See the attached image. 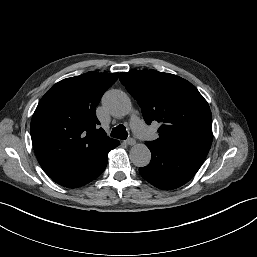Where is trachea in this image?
<instances>
[{
  "mask_svg": "<svg viewBox=\"0 0 257 257\" xmlns=\"http://www.w3.org/2000/svg\"><path fill=\"white\" fill-rule=\"evenodd\" d=\"M111 136L117 139H127L128 133L124 125L120 124L112 129Z\"/></svg>",
  "mask_w": 257,
  "mask_h": 257,
  "instance_id": "obj_1",
  "label": "trachea"
}]
</instances>
